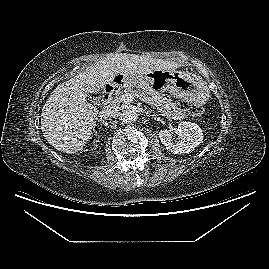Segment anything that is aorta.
I'll list each match as a JSON object with an SVG mask.
<instances>
[{
  "instance_id": "aorta-1",
  "label": "aorta",
  "mask_w": 269,
  "mask_h": 269,
  "mask_svg": "<svg viewBox=\"0 0 269 269\" xmlns=\"http://www.w3.org/2000/svg\"><path fill=\"white\" fill-rule=\"evenodd\" d=\"M138 111L136 108H131L123 111V114L121 115V120L125 123H131L138 119Z\"/></svg>"
}]
</instances>
